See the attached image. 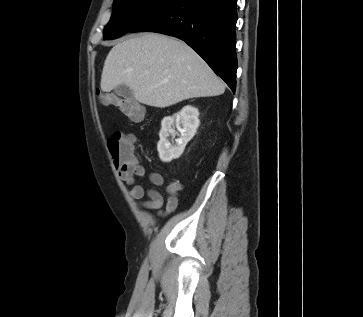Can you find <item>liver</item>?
Segmentation results:
<instances>
[{"label":"liver","instance_id":"6515ba94","mask_svg":"<svg viewBox=\"0 0 363 317\" xmlns=\"http://www.w3.org/2000/svg\"><path fill=\"white\" fill-rule=\"evenodd\" d=\"M121 84L138 102L160 108L225 91L223 81L191 47L158 33L132 35L110 50L101 90L110 92Z\"/></svg>","mask_w":363,"mask_h":317}]
</instances>
